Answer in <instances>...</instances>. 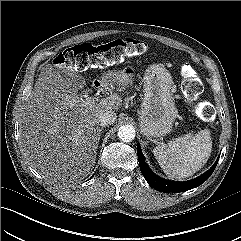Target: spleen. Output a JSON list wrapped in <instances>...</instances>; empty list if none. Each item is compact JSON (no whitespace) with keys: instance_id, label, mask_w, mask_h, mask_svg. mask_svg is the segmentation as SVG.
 <instances>
[{"instance_id":"1","label":"spleen","mask_w":241,"mask_h":241,"mask_svg":"<svg viewBox=\"0 0 241 241\" xmlns=\"http://www.w3.org/2000/svg\"><path fill=\"white\" fill-rule=\"evenodd\" d=\"M211 150L210 132L205 129L156 146L153 153L168 177L182 180L199 171L207 163Z\"/></svg>"}]
</instances>
